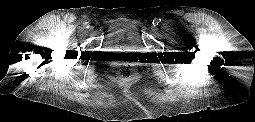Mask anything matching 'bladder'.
I'll list each match as a JSON object with an SVG mask.
<instances>
[{"label":"bladder","instance_id":"1","mask_svg":"<svg viewBox=\"0 0 255 122\" xmlns=\"http://www.w3.org/2000/svg\"><path fill=\"white\" fill-rule=\"evenodd\" d=\"M139 35L135 26L131 24L118 25L110 29L107 34V42L111 46L122 44L135 47L138 43Z\"/></svg>","mask_w":255,"mask_h":122}]
</instances>
